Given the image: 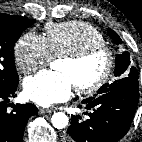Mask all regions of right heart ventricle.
Returning <instances> with one entry per match:
<instances>
[{
  "mask_svg": "<svg viewBox=\"0 0 142 142\" xmlns=\"http://www.w3.org/2000/svg\"><path fill=\"white\" fill-rule=\"evenodd\" d=\"M46 42L52 57L76 53L84 48L104 44L103 34L82 21L49 23L45 27Z\"/></svg>",
  "mask_w": 142,
  "mask_h": 142,
  "instance_id": "1",
  "label": "right heart ventricle"
}]
</instances>
